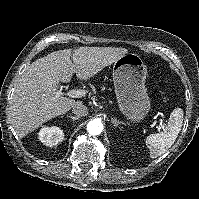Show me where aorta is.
<instances>
[{"mask_svg":"<svg viewBox=\"0 0 199 199\" xmlns=\"http://www.w3.org/2000/svg\"><path fill=\"white\" fill-rule=\"evenodd\" d=\"M86 129L91 135H99L103 130V124L99 119H94L88 122Z\"/></svg>","mask_w":199,"mask_h":199,"instance_id":"aorta-1","label":"aorta"}]
</instances>
